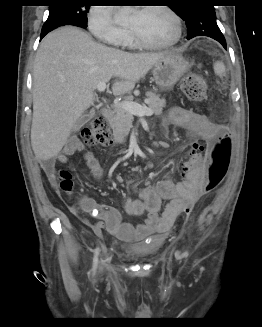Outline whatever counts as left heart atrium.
<instances>
[{"instance_id":"39dd6f15","label":"left heart atrium","mask_w":262,"mask_h":327,"mask_svg":"<svg viewBox=\"0 0 262 327\" xmlns=\"http://www.w3.org/2000/svg\"><path fill=\"white\" fill-rule=\"evenodd\" d=\"M140 11L135 12V14H139Z\"/></svg>"}]
</instances>
